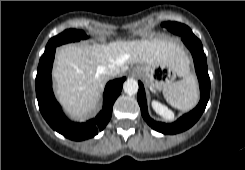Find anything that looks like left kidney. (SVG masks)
I'll return each instance as SVG.
<instances>
[{
    "label": "left kidney",
    "mask_w": 245,
    "mask_h": 170,
    "mask_svg": "<svg viewBox=\"0 0 245 170\" xmlns=\"http://www.w3.org/2000/svg\"><path fill=\"white\" fill-rule=\"evenodd\" d=\"M152 107L159 115L163 116L166 119H172L173 113L169 111L164 105L160 104L157 101L152 102Z\"/></svg>",
    "instance_id": "left-kidney-1"
}]
</instances>
